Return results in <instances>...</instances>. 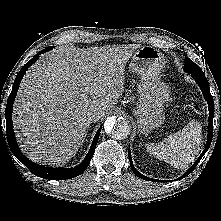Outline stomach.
<instances>
[{"instance_id":"stomach-1","label":"stomach","mask_w":221,"mask_h":221,"mask_svg":"<svg viewBox=\"0 0 221 221\" xmlns=\"http://www.w3.org/2000/svg\"><path fill=\"white\" fill-rule=\"evenodd\" d=\"M164 64V54L152 46L140 47L132 57L130 68L141 77L137 86L140 99L134 109L140 134H147L164 123V104L170 97L169 87L160 81Z\"/></svg>"}]
</instances>
